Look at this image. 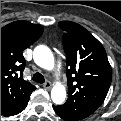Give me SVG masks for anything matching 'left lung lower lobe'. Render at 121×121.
Here are the masks:
<instances>
[{
    "label": "left lung lower lobe",
    "instance_id": "left-lung-lower-lobe-1",
    "mask_svg": "<svg viewBox=\"0 0 121 121\" xmlns=\"http://www.w3.org/2000/svg\"><path fill=\"white\" fill-rule=\"evenodd\" d=\"M53 108H54V111L57 113V115L65 120V116L59 111L58 106L53 105Z\"/></svg>",
    "mask_w": 121,
    "mask_h": 121
}]
</instances>
